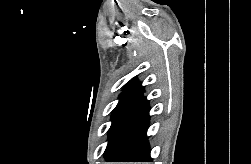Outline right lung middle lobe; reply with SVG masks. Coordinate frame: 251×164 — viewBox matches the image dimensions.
<instances>
[{"label": "right lung middle lobe", "instance_id": "dd1d6c3e", "mask_svg": "<svg viewBox=\"0 0 251 164\" xmlns=\"http://www.w3.org/2000/svg\"><path fill=\"white\" fill-rule=\"evenodd\" d=\"M143 96L140 92H130L124 91L120 95V100L116 108L112 112V125L109 129V134L114 126V124L121 118V116L131 108L141 97Z\"/></svg>", "mask_w": 251, "mask_h": 164}]
</instances>
